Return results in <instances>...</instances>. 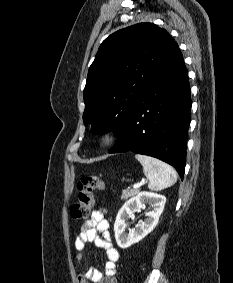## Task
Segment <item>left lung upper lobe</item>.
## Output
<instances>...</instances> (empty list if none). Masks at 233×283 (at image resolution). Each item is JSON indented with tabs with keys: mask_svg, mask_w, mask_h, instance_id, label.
<instances>
[{
	"mask_svg": "<svg viewBox=\"0 0 233 283\" xmlns=\"http://www.w3.org/2000/svg\"><path fill=\"white\" fill-rule=\"evenodd\" d=\"M176 41L153 23H140L107 37L91 64L84 89L83 121L94 134L119 135L141 98L146 82Z\"/></svg>",
	"mask_w": 233,
	"mask_h": 283,
	"instance_id": "1",
	"label": "left lung upper lobe"
}]
</instances>
